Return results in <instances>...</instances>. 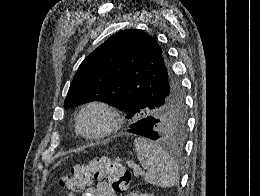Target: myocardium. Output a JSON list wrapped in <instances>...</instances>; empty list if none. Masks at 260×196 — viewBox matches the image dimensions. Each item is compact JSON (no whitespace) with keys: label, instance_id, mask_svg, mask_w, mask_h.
I'll return each instance as SVG.
<instances>
[{"label":"myocardium","instance_id":"1","mask_svg":"<svg viewBox=\"0 0 260 196\" xmlns=\"http://www.w3.org/2000/svg\"><path fill=\"white\" fill-rule=\"evenodd\" d=\"M92 107H100L106 110L109 113L111 120L109 125L102 131L95 134H88L83 132L82 129L80 128V120L83 114ZM121 123H122V119H121L120 112L113 105L105 101L95 100L86 103L77 113L76 121H75V131L80 137H82L86 141L99 142L105 140L114 132H116L120 128Z\"/></svg>","mask_w":260,"mask_h":196}]
</instances>
